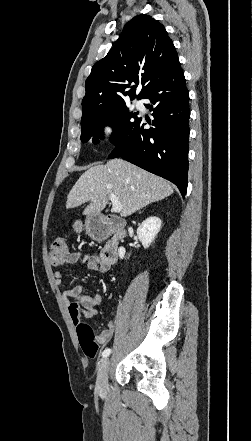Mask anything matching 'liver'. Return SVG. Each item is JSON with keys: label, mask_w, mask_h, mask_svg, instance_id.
Returning <instances> with one entry per match:
<instances>
[{"label": "liver", "mask_w": 252, "mask_h": 441, "mask_svg": "<svg viewBox=\"0 0 252 441\" xmlns=\"http://www.w3.org/2000/svg\"><path fill=\"white\" fill-rule=\"evenodd\" d=\"M172 193L167 180L122 159H112L79 177L67 196L66 208L90 201L83 214H98L105 208L109 194H114L123 207L120 216L127 217Z\"/></svg>", "instance_id": "liver-1"}]
</instances>
